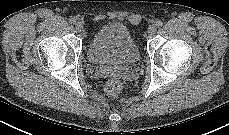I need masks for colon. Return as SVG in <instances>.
Segmentation results:
<instances>
[{
  "instance_id": "1",
  "label": "colon",
  "mask_w": 229,
  "mask_h": 135,
  "mask_svg": "<svg viewBox=\"0 0 229 135\" xmlns=\"http://www.w3.org/2000/svg\"><path fill=\"white\" fill-rule=\"evenodd\" d=\"M122 89V84L118 79L110 80L105 86L104 93L110 98H114L119 95Z\"/></svg>"
}]
</instances>
